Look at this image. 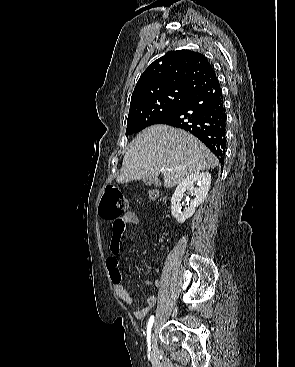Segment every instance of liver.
Returning <instances> with one entry per match:
<instances>
[{"label":"liver","mask_w":295,"mask_h":367,"mask_svg":"<svg viewBox=\"0 0 295 367\" xmlns=\"http://www.w3.org/2000/svg\"><path fill=\"white\" fill-rule=\"evenodd\" d=\"M218 164L216 156L196 137L170 126L153 125L129 144L117 182L156 180L162 173L164 187L172 188L186 176Z\"/></svg>","instance_id":"liver-1"}]
</instances>
